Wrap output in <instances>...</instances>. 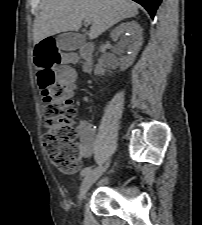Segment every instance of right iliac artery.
I'll return each instance as SVG.
<instances>
[{"label":"right iliac artery","instance_id":"right-iliac-artery-1","mask_svg":"<svg viewBox=\"0 0 202 225\" xmlns=\"http://www.w3.org/2000/svg\"><path fill=\"white\" fill-rule=\"evenodd\" d=\"M91 171V167H86L81 171V176L87 175Z\"/></svg>","mask_w":202,"mask_h":225}]
</instances>
